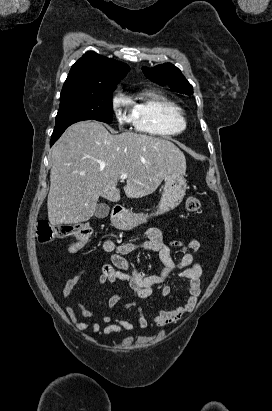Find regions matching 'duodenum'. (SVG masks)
<instances>
[{
  "label": "duodenum",
  "instance_id": "obj_1",
  "mask_svg": "<svg viewBox=\"0 0 272 411\" xmlns=\"http://www.w3.org/2000/svg\"><path fill=\"white\" fill-rule=\"evenodd\" d=\"M124 207L123 206H121V205H116L114 208H113V214L115 215V216H119V215H121L123 212H124Z\"/></svg>",
  "mask_w": 272,
  "mask_h": 411
}]
</instances>
